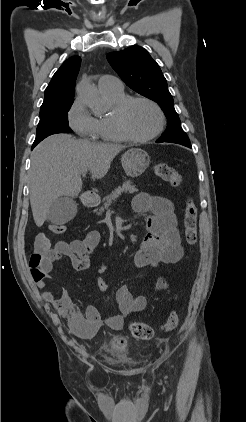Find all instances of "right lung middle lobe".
<instances>
[{
  "label": "right lung middle lobe",
  "mask_w": 246,
  "mask_h": 422,
  "mask_svg": "<svg viewBox=\"0 0 246 422\" xmlns=\"http://www.w3.org/2000/svg\"><path fill=\"white\" fill-rule=\"evenodd\" d=\"M73 101L64 100L40 108V121L32 147L52 134L72 132L68 122V111Z\"/></svg>",
  "instance_id": "dd1d6c3e"
}]
</instances>
